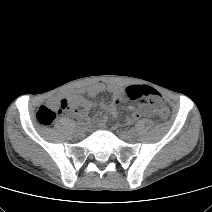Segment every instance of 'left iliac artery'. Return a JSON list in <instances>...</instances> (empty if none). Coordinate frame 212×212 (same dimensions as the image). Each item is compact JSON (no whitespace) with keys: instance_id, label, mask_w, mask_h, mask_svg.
I'll return each mask as SVG.
<instances>
[{"instance_id":"44dca946","label":"left iliac artery","mask_w":212,"mask_h":212,"mask_svg":"<svg viewBox=\"0 0 212 212\" xmlns=\"http://www.w3.org/2000/svg\"><path fill=\"white\" fill-rule=\"evenodd\" d=\"M131 131H132V132H135V131H136V129L133 127V128L131 129Z\"/></svg>"}]
</instances>
